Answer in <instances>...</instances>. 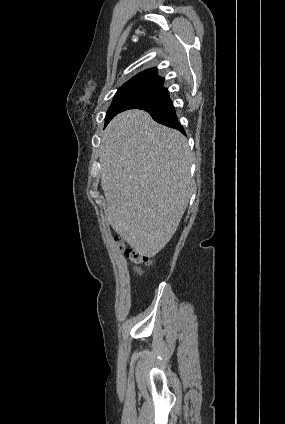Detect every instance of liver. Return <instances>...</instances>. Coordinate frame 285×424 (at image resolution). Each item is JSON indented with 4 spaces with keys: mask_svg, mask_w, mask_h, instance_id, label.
<instances>
[{
    "mask_svg": "<svg viewBox=\"0 0 285 424\" xmlns=\"http://www.w3.org/2000/svg\"><path fill=\"white\" fill-rule=\"evenodd\" d=\"M99 160L111 227L140 255L155 256L176 232L192 193L187 139L145 111L128 110L102 133Z\"/></svg>",
    "mask_w": 285,
    "mask_h": 424,
    "instance_id": "6515ba94",
    "label": "liver"
}]
</instances>
